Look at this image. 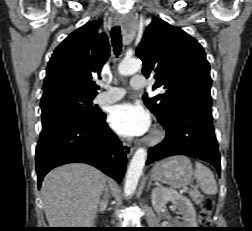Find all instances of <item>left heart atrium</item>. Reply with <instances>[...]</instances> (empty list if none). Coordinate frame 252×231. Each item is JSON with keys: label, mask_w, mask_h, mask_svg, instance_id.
<instances>
[{"label": "left heart atrium", "mask_w": 252, "mask_h": 231, "mask_svg": "<svg viewBox=\"0 0 252 231\" xmlns=\"http://www.w3.org/2000/svg\"><path fill=\"white\" fill-rule=\"evenodd\" d=\"M112 129L124 137L146 134L150 129V116L142 107L125 102L114 106L108 117Z\"/></svg>", "instance_id": "obj_1"}]
</instances>
